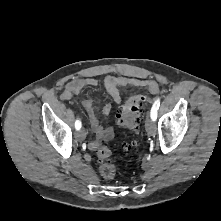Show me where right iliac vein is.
<instances>
[{
	"label": "right iliac vein",
	"mask_w": 221,
	"mask_h": 221,
	"mask_svg": "<svg viewBox=\"0 0 221 221\" xmlns=\"http://www.w3.org/2000/svg\"><path fill=\"white\" fill-rule=\"evenodd\" d=\"M76 138H77L79 141L85 140V138H86V132H85V130H84V129L79 130V131L76 133Z\"/></svg>",
	"instance_id": "1"
}]
</instances>
